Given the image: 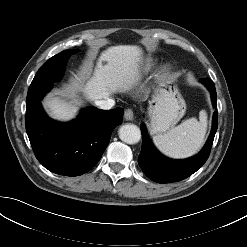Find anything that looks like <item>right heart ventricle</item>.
Returning a JSON list of instances; mask_svg holds the SVG:
<instances>
[{
    "mask_svg": "<svg viewBox=\"0 0 247 247\" xmlns=\"http://www.w3.org/2000/svg\"><path fill=\"white\" fill-rule=\"evenodd\" d=\"M151 66H152V61H151V59H145V60L142 62V64H141V69H142L143 71H147V70H149V69L151 68Z\"/></svg>",
    "mask_w": 247,
    "mask_h": 247,
    "instance_id": "e07e8e85",
    "label": "right heart ventricle"
}]
</instances>
